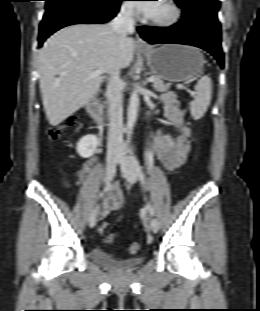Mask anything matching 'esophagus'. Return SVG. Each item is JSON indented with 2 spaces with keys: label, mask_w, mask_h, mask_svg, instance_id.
<instances>
[{
  "label": "esophagus",
  "mask_w": 260,
  "mask_h": 311,
  "mask_svg": "<svg viewBox=\"0 0 260 311\" xmlns=\"http://www.w3.org/2000/svg\"><path fill=\"white\" fill-rule=\"evenodd\" d=\"M135 43L139 47H147L146 42L140 36H137V40Z\"/></svg>",
  "instance_id": "obj_1"
}]
</instances>
